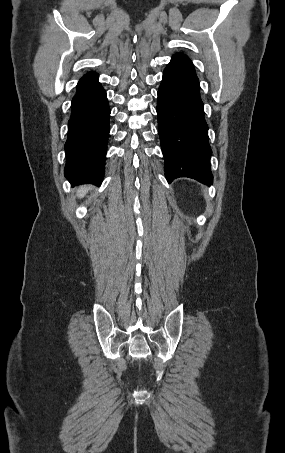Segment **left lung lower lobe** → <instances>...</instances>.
Wrapping results in <instances>:
<instances>
[{
  "label": "left lung lower lobe",
  "instance_id": "0a47b994",
  "mask_svg": "<svg viewBox=\"0 0 285 453\" xmlns=\"http://www.w3.org/2000/svg\"><path fill=\"white\" fill-rule=\"evenodd\" d=\"M157 115L167 181L189 177L212 184V150L199 80L191 60L182 53L175 54L163 72Z\"/></svg>",
  "mask_w": 285,
  "mask_h": 453
}]
</instances>
